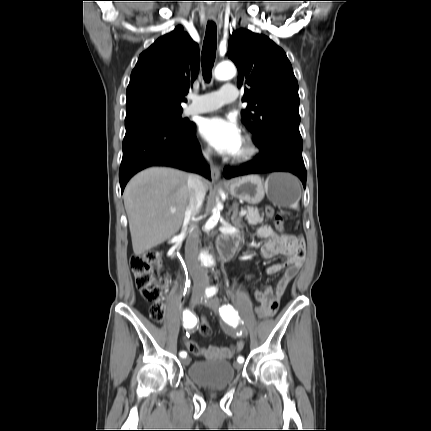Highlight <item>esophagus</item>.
<instances>
[{"mask_svg": "<svg viewBox=\"0 0 431 431\" xmlns=\"http://www.w3.org/2000/svg\"><path fill=\"white\" fill-rule=\"evenodd\" d=\"M210 20H215L214 17H209ZM211 176L213 178V180L215 181H219L220 177H221V172H220V168L216 165H212L211 166Z\"/></svg>", "mask_w": 431, "mask_h": 431, "instance_id": "obj_1", "label": "esophagus"}]
</instances>
